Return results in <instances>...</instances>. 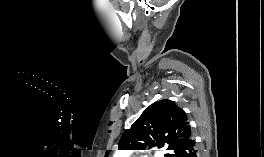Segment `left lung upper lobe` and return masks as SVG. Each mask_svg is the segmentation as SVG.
Instances as JSON below:
<instances>
[{
    "label": "left lung upper lobe",
    "mask_w": 264,
    "mask_h": 157,
    "mask_svg": "<svg viewBox=\"0 0 264 157\" xmlns=\"http://www.w3.org/2000/svg\"><path fill=\"white\" fill-rule=\"evenodd\" d=\"M192 138L186 113L171 100H160L148 106L126 130L119 149L143 150L157 146L168 150L165 157H179V151ZM110 150L106 151L108 157Z\"/></svg>",
    "instance_id": "left-lung-upper-lobe-1"
}]
</instances>
